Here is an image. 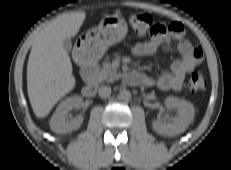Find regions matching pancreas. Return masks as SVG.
Listing matches in <instances>:
<instances>
[{
	"mask_svg": "<svg viewBox=\"0 0 231 170\" xmlns=\"http://www.w3.org/2000/svg\"><path fill=\"white\" fill-rule=\"evenodd\" d=\"M98 81L113 82L120 78V74L117 73V69L113 67L109 62H104L101 70L96 74Z\"/></svg>",
	"mask_w": 231,
	"mask_h": 170,
	"instance_id": "obj_1",
	"label": "pancreas"
}]
</instances>
